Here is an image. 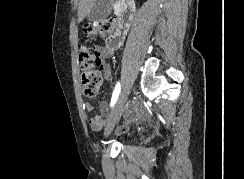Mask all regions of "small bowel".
Segmentation results:
<instances>
[{
    "label": "small bowel",
    "mask_w": 244,
    "mask_h": 179,
    "mask_svg": "<svg viewBox=\"0 0 244 179\" xmlns=\"http://www.w3.org/2000/svg\"><path fill=\"white\" fill-rule=\"evenodd\" d=\"M122 42L123 40L120 39L112 45L106 43L105 45L95 44L92 46L93 52L96 54L99 62L101 63L100 68L103 74V78L106 81H111L113 76L111 65L107 63L106 60L110 59L113 56L114 51L122 45ZM85 107L88 112L94 111V106L90 103H87ZM109 115L110 112L107 108V104L105 102H102L100 115L92 117L89 121L90 128L93 130H100L107 121V119L105 118L108 117ZM126 115L129 119L133 118L135 116V111L131 109H127Z\"/></svg>",
    "instance_id": "c3829d8e"
}]
</instances>
